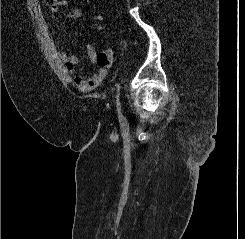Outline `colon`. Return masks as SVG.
<instances>
[{"label": "colon", "mask_w": 245, "mask_h": 239, "mask_svg": "<svg viewBox=\"0 0 245 239\" xmlns=\"http://www.w3.org/2000/svg\"><path fill=\"white\" fill-rule=\"evenodd\" d=\"M47 3H53L55 2L54 0H46Z\"/></svg>", "instance_id": "colon-1"}]
</instances>
